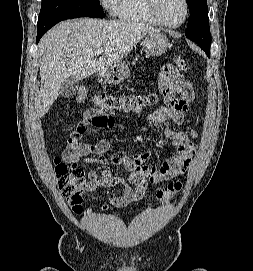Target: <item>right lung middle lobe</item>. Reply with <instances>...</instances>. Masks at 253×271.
Segmentation results:
<instances>
[{"instance_id": "right-lung-middle-lobe-1", "label": "right lung middle lobe", "mask_w": 253, "mask_h": 271, "mask_svg": "<svg viewBox=\"0 0 253 271\" xmlns=\"http://www.w3.org/2000/svg\"><path fill=\"white\" fill-rule=\"evenodd\" d=\"M104 16L99 0H42L37 32H46L66 19Z\"/></svg>"}]
</instances>
